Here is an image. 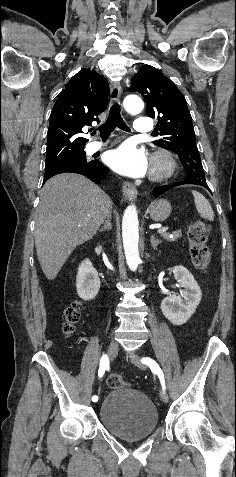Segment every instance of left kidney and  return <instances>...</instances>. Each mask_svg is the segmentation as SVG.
Returning <instances> with one entry per match:
<instances>
[{
    "mask_svg": "<svg viewBox=\"0 0 236 477\" xmlns=\"http://www.w3.org/2000/svg\"><path fill=\"white\" fill-rule=\"evenodd\" d=\"M175 279L185 288L181 296L170 295L162 300L163 315L174 325H182L193 315L202 297L201 289L193 275L183 266L174 267Z\"/></svg>",
    "mask_w": 236,
    "mask_h": 477,
    "instance_id": "1",
    "label": "left kidney"
}]
</instances>
